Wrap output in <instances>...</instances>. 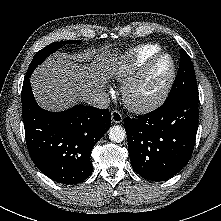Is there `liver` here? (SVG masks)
<instances>
[{
    "label": "liver",
    "instance_id": "1",
    "mask_svg": "<svg viewBox=\"0 0 221 221\" xmlns=\"http://www.w3.org/2000/svg\"><path fill=\"white\" fill-rule=\"evenodd\" d=\"M74 56L57 52L39 66L31 78V85L41 107L57 111L76 102H84L90 94L101 92L110 74H119L126 67L127 56L110 53ZM84 61L85 63H82Z\"/></svg>",
    "mask_w": 221,
    "mask_h": 221
}]
</instances>
